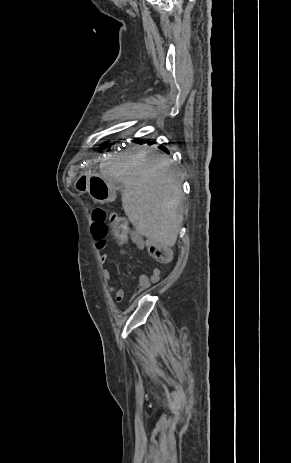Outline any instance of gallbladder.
<instances>
[{"label":"gallbladder","instance_id":"1","mask_svg":"<svg viewBox=\"0 0 291 463\" xmlns=\"http://www.w3.org/2000/svg\"><path fill=\"white\" fill-rule=\"evenodd\" d=\"M117 188H118L119 190H123L124 187H123L122 184L118 183V184H117Z\"/></svg>","mask_w":291,"mask_h":463}]
</instances>
